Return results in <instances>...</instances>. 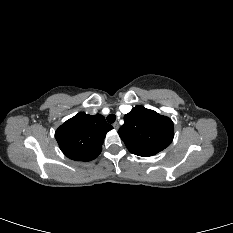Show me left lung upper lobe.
<instances>
[{
  "label": "left lung upper lobe",
  "instance_id": "1",
  "mask_svg": "<svg viewBox=\"0 0 233 233\" xmlns=\"http://www.w3.org/2000/svg\"><path fill=\"white\" fill-rule=\"evenodd\" d=\"M118 134L131 153L149 157L170 145L174 127L170 118L143 106H136L124 116V124Z\"/></svg>",
  "mask_w": 233,
  "mask_h": 233
}]
</instances>
